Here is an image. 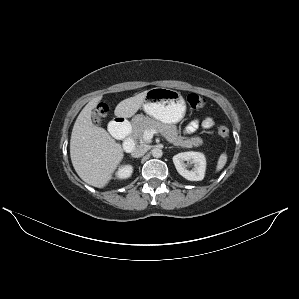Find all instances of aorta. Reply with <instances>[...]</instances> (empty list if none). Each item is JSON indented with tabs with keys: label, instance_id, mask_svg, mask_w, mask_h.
<instances>
[{
	"label": "aorta",
	"instance_id": "obj_1",
	"mask_svg": "<svg viewBox=\"0 0 299 299\" xmlns=\"http://www.w3.org/2000/svg\"><path fill=\"white\" fill-rule=\"evenodd\" d=\"M162 155H163V152H162V150L160 148H154L152 150V156L153 157L160 158V157H162Z\"/></svg>",
	"mask_w": 299,
	"mask_h": 299
}]
</instances>
